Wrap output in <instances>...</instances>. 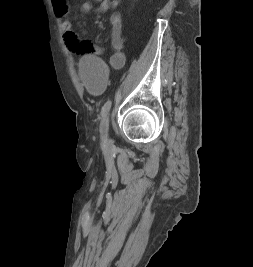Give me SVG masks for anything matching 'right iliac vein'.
<instances>
[{
    "label": "right iliac vein",
    "instance_id": "obj_1",
    "mask_svg": "<svg viewBox=\"0 0 253 267\" xmlns=\"http://www.w3.org/2000/svg\"><path fill=\"white\" fill-rule=\"evenodd\" d=\"M108 126H109V116H106L101 125V134L103 136L104 142H107Z\"/></svg>",
    "mask_w": 253,
    "mask_h": 267
}]
</instances>
